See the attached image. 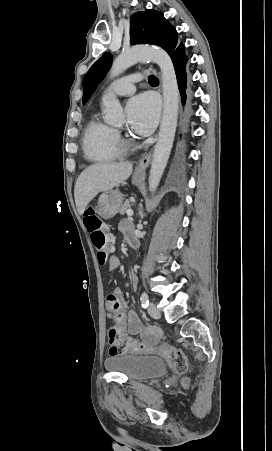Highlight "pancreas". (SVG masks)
<instances>
[{
	"label": "pancreas",
	"mask_w": 272,
	"mask_h": 451,
	"mask_svg": "<svg viewBox=\"0 0 272 451\" xmlns=\"http://www.w3.org/2000/svg\"><path fill=\"white\" fill-rule=\"evenodd\" d=\"M129 208H131V204L129 200H126V202H124L123 206H121L119 210L120 214H122V216H125L126 210H129Z\"/></svg>",
	"instance_id": "cf45deb5"
}]
</instances>
